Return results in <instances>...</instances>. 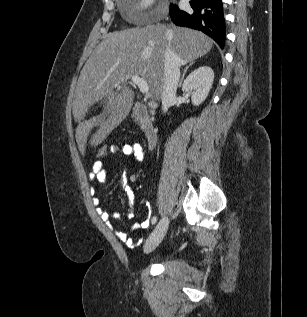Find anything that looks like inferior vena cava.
Instances as JSON below:
<instances>
[{"label":"inferior vena cava","instance_id":"602c4592","mask_svg":"<svg viewBox=\"0 0 307 317\" xmlns=\"http://www.w3.org/2000/svg\"><path fill=\"white\" fill-rule=\"evenodd\" d=\"M181 59L170 48L164 53V82L161 94L162 109L164 112L173 104L180 79Z\"/></svg>","mask_w":307,"mask_h":317}]
</instances>
